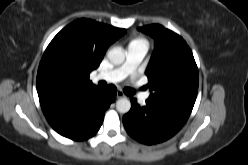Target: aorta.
<instances>
[{"mask_svg": "<svg viewBox=\"0 0 248 165\" xmlns=\"http://www.w3.org/2000/svg\"><path fill=\"white\" fill-rule=\"evenodd\" d=\"M107 57L109 61L114 65H120L125 60L124 53L117 48L110 49L107 53ZM130 108H131V102L127 98H120L117 100L116 109L118 112L128 113L130 111Z\"/></svg>", "mask_w": 248, "mask_h": 165, "instance_id": "1", "label": "aorta"}]
</instances>
